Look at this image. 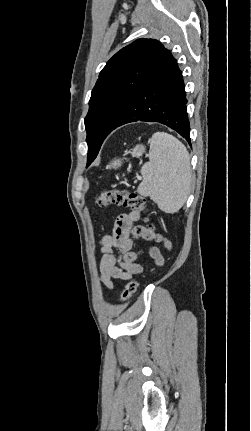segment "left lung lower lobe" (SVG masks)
<instances>
[{
    "label": "left lung lower lobe",
    "mask_w": 251,
    "mask_h": 431,
    "mask_svg": "<svg viewBox=\"0 0 251 431\" xmlns=\"http://www.w3.org/2000/svg\"><path fill=\"white\" fill-rule=\"evenodd\" d=\"M182 72L171 52L163 49L125 115L115 127L136 121L159 122L190 143ZM113 130L106 132L108 135Z\"/></svg>",
    "instance_id": "left-lung-lower-lobe-1"
}]
</instances>
